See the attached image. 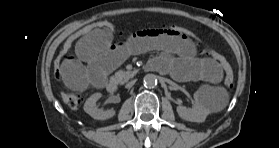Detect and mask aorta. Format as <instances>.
Returning a JSON list of instances; mask_svg holds the SVG:
<instances>
[{
    "label": "aorta",
    "mask_w": 279,
    "mask_h": 148,
    "mask_svg": "<svg viewBox=\"0 0 279 148\" xmlns=\"http://www.w3.org/2000/svg\"><path fill=\"white\" fill-rule=\"evenodd\" d=\"M144 86L147 88H154L157 85V76L155 74H147L144 77Z\"/></svg>",
    "instance_id": "762f6f07"
}]
</instances>
